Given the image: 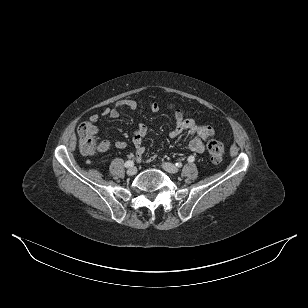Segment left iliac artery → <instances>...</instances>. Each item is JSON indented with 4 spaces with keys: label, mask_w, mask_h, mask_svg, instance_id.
Wrapping results in <instances>:
<instances>
[{
    "label": "left iliac artery",
    "mask_w": 308,
    "mask_h": 308,
    "mask_svg": "<svg viewBox=\"0 0 308 308\" xmlns=\"http://www.w3.org/2000/svg\"><path fill=\"white\" fill-rule=\"evenodd\" d=\"M187 160H188V162H193L195 159H194L193 156H189ZM175 165H176L177 167H181V166H182L181 163H176Z\"/></svg>",
    "instance_id": "44dca946"
}]
</instances>
